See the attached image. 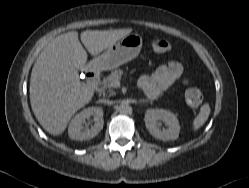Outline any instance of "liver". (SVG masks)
<instances>
[{
    "mask_svg": "<svg viewBox=\"0 0 249 188\" xmlns=\"http://www.w3.org/2000/svg\"><path fill=\"white\" fill-rule=\"evenodd\" d=\"M131 32V28L87 30L80 37L87 51L96 56ZM86 62L87 52L78 33L72 31L51 40L33 66L31 107L40 125L54 136L65 131L71 117L94 95V90L79 80V70Z\"/></svg>",
    "mask_w": 249,
    "mask_h": 188,
    "instance_id": "liver-1",
    "label": "liver"
}]
</instances>
